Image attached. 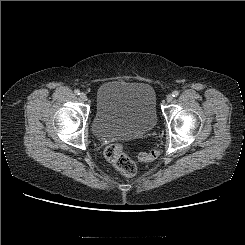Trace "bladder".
Instances as JSON below:
<instances>
[{
	"label": "bladder",
	"instance_id": "obj_1",
	"mask_svg": "<svg viewBox=\"0 0 245 245\" xmlns=\"http://www.w3.org/2000/svg\"><path fill=\"white\" fill-rule=\"evenodd\" d=\"M156 124V95L150 85L110 80L99 87L92 124L96 136L137 138Z\"/></svg>",
	"mask_w": 245,
	"mask_h": 245
}]
</instances>
